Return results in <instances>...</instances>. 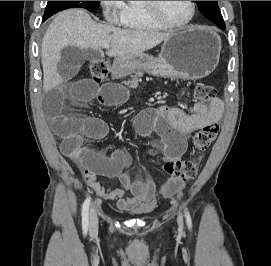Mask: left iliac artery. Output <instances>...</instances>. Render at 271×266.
<instances>
[{"label":"left iliac artery","mask_w":271,"mask_h":266,"mask_svg":"<svg viewBox=\"0 0 271 266\" xmlns=\"http://www.w3.org/2000/svg\"><path fill=\"white\" fill-rule=\"evenodd\" d=\"M185 217H186L187 225H188L189 229H191L192 220H191L190 213H189V211H188V209L186 207H185Z\"/></svg>","instance_id":"44dca946"}]
</instances>
